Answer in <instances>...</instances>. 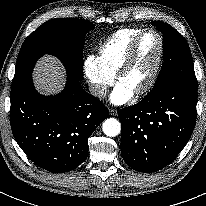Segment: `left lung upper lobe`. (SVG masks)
I'll return each mask as SVG.
<instances>
[{"instance_id": "obj_1", "label": "left lung upper lobe", "mask_w": 206, "mask_h": 206, "mask_svg": "<svg viewBox=\"0 0 206 206\" xmlns=\"http://www.w3.org/2000/svg\"><path fill=\"white\" fill-rule=\"evenodd\" d=\"M152 24L164 37V63L154 88L147 95L177 84H197L192 55L184 37L167 23L152 21Z\"/></svg>"}]
</instances>
